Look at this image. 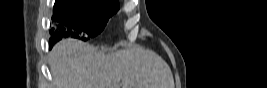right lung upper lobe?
Returning <instances> with one entry per match:
<instances>
[{
    "label": "right lung upper lobe",
    "instance_id": "obj_1",
    "mask_svg": "<svg viewBox=\"0 0 267 88\" xmlns=\"http://www.w3.org/2000/svg\"><path fill=\"white\" fill-rule=\"evenodd\" d=\"M111 1H115V2H118V0H111Z\"/></svg>",
    "mask_w": 267,
    "mask_h": 88
}]
</instances>
